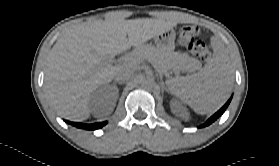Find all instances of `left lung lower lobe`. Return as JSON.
<instances>
[{"mask_svg": "<svg viewBox=\"0 0 279 166\" xmlns=\"http://www.w3.org/2000/svg\"><path fill=\"white\" fill-rule=\"evenodd\" d=\"M231 99H229V101L218 111L216 112L211 118L208 119V121L203 124L202 126L205 127V126H208L210 125L211 123H213L219 116H221L224 111L226 110L227 106L229 105Z\"/></svg>", "mask_w": 279, "mask_h": 166, "instance_id": "0a47b994", "label": "left lung lower lobe"}]
</instances>
